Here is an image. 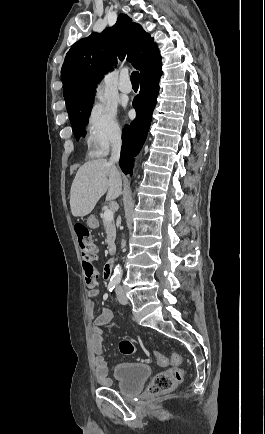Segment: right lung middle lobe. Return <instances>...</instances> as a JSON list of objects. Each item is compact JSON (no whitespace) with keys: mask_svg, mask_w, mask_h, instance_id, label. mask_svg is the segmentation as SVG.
Returning <instances> with one entry per match:
<instances>
[{"mask_svg":"<svg viewBox=\"0 0 265 434\" xmlns=\"http://www.w3.org/2000/svg\"><path fill=\"white\" fill-rule=\"evenodd\" d=\"M94 94L83 99L66 103L70 122L77 138L85 134V126L88 123L90 111L92 108Z\"/></svg>","mask_w":265,"mask_h":434,"instance_id":"1","label":"right lung middle lobe"}]
</instances>
